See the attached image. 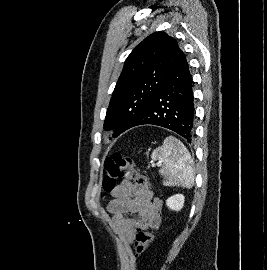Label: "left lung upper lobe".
Listing matches in <instances>:
<instances>
[{
    "mask_svg": "<svg viewBox=\"0 0 267 270\" xmlns=\"http://www.w3.org/2000/svg\"><path fill=\"white\" fill-rule=\"evenodd\" d=\"M177 41L155 32L127 57L107 109L104 128L119 136L138 120L166 82L180 53Z\"/></svg>",
    "mask_w": 267,
    "mask_h": 270,
    "instance_id": "obj_1",
    "label": "left lung upper lobe"
}]
</instances>
